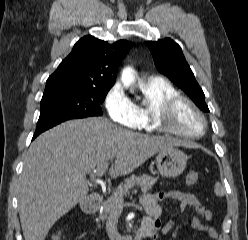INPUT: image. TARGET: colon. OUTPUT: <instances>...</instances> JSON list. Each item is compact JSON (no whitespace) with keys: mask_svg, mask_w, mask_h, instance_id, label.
<instances>
[{"mask_svg":"<svg viewBox=\"0 0 248 240\" xmlns=\"http://www.w3.org/2000/svg\"><path fill=\"white\" fill-rule=\"evenodd\" d=\"M199 179L198 173L196 171H190L188 172L186 176V182L188 185H194L197 183ZM52 240H61L59 235H55Z\"/></svg>","mask_w":248,"mask_h":240,"instance_id":"5ec220e1","label":"colon"}]
</instances>
